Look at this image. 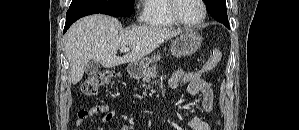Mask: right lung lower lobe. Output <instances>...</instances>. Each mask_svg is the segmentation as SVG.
<instances>
[{"instance_id": "1", "label": "right lung lower lobe", "mask_w": 299, "mask_h": 130, "mask_svg": "<svg viewBox=\"0 0 299 130\" xmlns=\"http://www.w3.org/2000/svg\"><path fill=\"white\" fill-rule=\"evenodd\" d=\"M98 12L93 11V10H68L67 11V15H66V23H65V27H64V32L67 31V29L71 26V24L73 22H75L77 19L86 16V15H90V14H96ZM111 16H115L118 17L120 15H111Z\"/></svg>"}]
</instances>
